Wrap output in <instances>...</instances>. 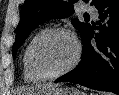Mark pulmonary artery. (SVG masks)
<instances>
[{"label": "pulmonary artery", "instance_id": "obj_1", "mask_svg": "<svg viewBox=\"0 0 119 95\" xmlns=\"http://www.w3.org/2000/svg\"><path fill=\"white\" fill-rule=\"evenodd\" d=\"M88 11H89L94 17H97V11H96V9L90 7V8H88Z\"/></svg>", "mask_w": 119, "mask_h": 95}]
</instances>
